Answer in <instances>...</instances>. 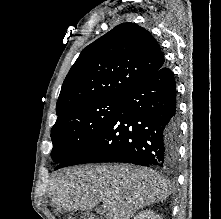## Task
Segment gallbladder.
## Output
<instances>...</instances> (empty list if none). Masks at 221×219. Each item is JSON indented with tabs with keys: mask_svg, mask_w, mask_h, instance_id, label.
I'll list each match as a JSON object with an SVG mask.
<instances>
[{
	"mask_svg": "<svg viewBox=\"0 0 221 219\" xmlns=\"http://www.w3.org/2000/svg\"><path fill=\"white\" fill-rule=\"evenodd\" d=\"M97 212L101 214V213H103V209L102 208H98Z\"/></svg>",
	"mask_w": 221,
	"mask_h": 219,
	"instance_id": "gallbladder-1",
	"label": "gallbladder"
}]
</instances>
